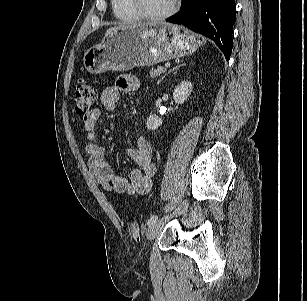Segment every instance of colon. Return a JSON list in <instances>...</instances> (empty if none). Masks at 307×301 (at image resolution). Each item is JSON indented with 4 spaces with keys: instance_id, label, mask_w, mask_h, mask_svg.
<instances>
[{
    "instance_id": "obj_1",
    "label": "colon",
    "mask_w": 307,
    "mask_h": 301,
    "mask_svg": "<svg viewBox=\"0 0 307 301\" xmlns=\"http://www.w3.org/2000/svg\"><path fill=\"white\" fill-rule=\"evenodd\" d=\"M96 99L97 92L95 86L92 83L81 79L78 82L74 93L76 113L82 116L87 115L92 110ZM130 230L133 236L138 234V225L135 221L130 222Z\"/></svg>"
}]
</instances>
